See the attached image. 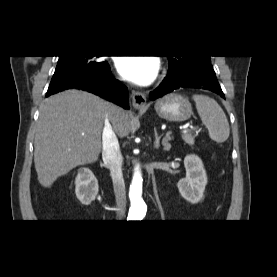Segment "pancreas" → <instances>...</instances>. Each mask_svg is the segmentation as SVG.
<instances>
[{
  "label": "pancreas",
  "instance_id": "obj_1",
  "mask_svg": "<svg viewBox=\"0 0 277 277\" xmlns=\"http://www.w3.org/2000/svg\"><path fill=\"white\" fill-rule=\"evenodd\" d=\"M182 139L184 140V142L190 146L194 145L195 142V137L192 136L191 133H186L182 135Z\"/></svg>",
  "mask_w": 277,
  "mask_h": 277
}]
</instances>
